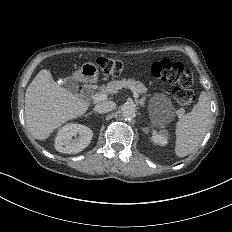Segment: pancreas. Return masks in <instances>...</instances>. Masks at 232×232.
I'll list each match as a JSON object with an SVG mask.
<instances>
[{"label":"pancreas","instance_id":"cf45deb5","mask_svg":"<svg viewBox=\"0 0 232 232\" xmlns=\"http://www.w3.org/2000/svg\"><path fill=\"white\" fill-rule=\"evenodd\" d=\"M122 88H130L133 92L139 93V94H145L147 92V88L143 85L142 82L136 81L134 79H128L125 78L122 80H113L109 82L106 86H101L100 91L101 93L105 94H115L119 89ZM142 99L145 100V97Z\"/></svg>","mask_w":232,"mask_h":232}]
</instances>
